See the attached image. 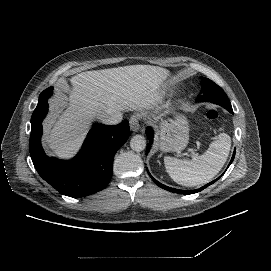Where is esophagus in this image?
I'll return each mask as SVG.
<instances>
[{"label": "esophagus", "mask_w": 271, "mask_h": 271, "mask_svg": "<svg viewBox=\"0 0 271 271\" xmlns=\"http://www.w3.org/2000/svg\"><path fill=\"white\" fill-rule=\"evenodd\" d=\"M139 119H140V116H139V115H136V114H133V115L130 117V120H129V123H130V129H131V131L134 132V133L138 132L139 129H140Z\"/></svg>", "instance_id": "esophagus-1"}]
</instances>
